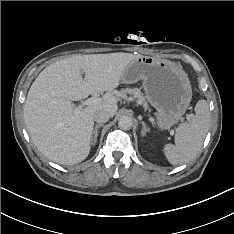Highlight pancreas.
<instances>
[{
  "mask_svg": "<svg viewBox=\"0 0 234 234\" xmlns=\"http://www.w3.org/2000/svg\"><path fill=\"white\" fill-rule=\"evenodd\" d=\"M121 93L122 94H131V95H133V97L138 100L139 104H143L144 107H147L146 99L143 96L140 89H138V88H126V89H122Z\"/></svg>",
  "mask_w": 234,
  "mask_h": 234,
  "instance_id": "pancreas-1",
  "label": "pancreas"
}]
</instances>
